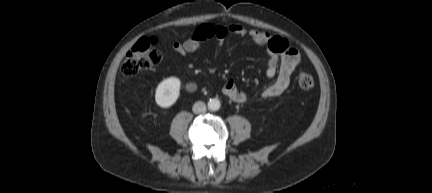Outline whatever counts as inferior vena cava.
I'll return each mask as SVG.
<instances>
[{
	"label": "inferior vena cava",
	"instance_id": "obj_1",
	"mask_svg": "<svg viewBox=\"0 0 432 193\" xmlns=\"http://www.w3.org/2000/svg\"><path fill=\"white\" fill-rule=\"evenodd\" d=\"M192 110L195 114H202L206 111V104L202 101H198L194 103Z\"/></svg>",
	"mask_w": 432,
	"mask_h": 193
}]
</instances>
